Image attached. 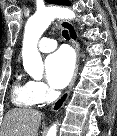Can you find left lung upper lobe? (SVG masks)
Wrapping results in <instances>:
<instances>
[{"mask_svg":"<svg viewBox=\"0 0 117 136\" xmlns=\"http://www.w3.org/2000/svg\"><path fill=\"white\" fill-rule=\"evenodd\" d=\"M48 3L59 4V5H70L71 3L67 0H45Z\"/></svg>","mask_w":117,"mask_h":136,"instance_id":"1","label":"left lung upper lobe"}]
</instances>
